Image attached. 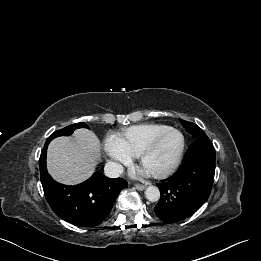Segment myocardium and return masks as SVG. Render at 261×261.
I'll return each instance as SVG.
<instances>
[{"mask_svg": "<svg viewBox=\"0 0 261 261\" xmlns=\"http://www.w3.org/2000/svg\"><path fill=\"white\" fill-rule=\"evenodd\" d=\"M168 133H174L176 135H178L179 139H180V143H179V147L177 149V152L173 158V160L170 162V164L160 170V171H157V172H152L150 173V175L154 178H158V179H161V178H165L169 175H171L175 170L176 168L178 167V165L180 164L181 162V159L183 157V154H184V150H185V139H184V136L183 134L175 129V128H172V127H169L167 129H165L164 131L160 132L159 134H157L145 147L144 149L139 153V155L137 156L138 157V161H139V164L142 166L145 159L153 152V150L156 148V146L158 145V143L160 142V140L165 136L167 135Z\"/></svg>", "mask_w": 261, "mask_h": 261, "instance_id": "myocardium-1", "label": "myocardium"}]
</instances>
